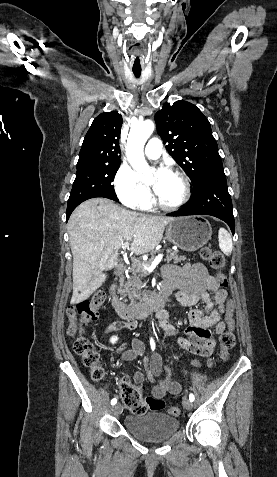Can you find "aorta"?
<instances>
[{
	"instance_id": "obj_1",
	"label": "aorta",
	"mask_w": 277,
	"mask_h": 477,
	"mask_svg": "<svg viewBox=\"0 0 277 477\" xmlns=\"http://www.w3.org/2000/svg\"><path fill=\"white\" fill-rule=\"evenodd\" d=\"M154 123L150 120L131 125L128 135L126 155L130 165L144 182H151L153 175L144 157V145L154 131Z\"/></svg>"
}]
</instances>
